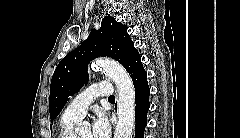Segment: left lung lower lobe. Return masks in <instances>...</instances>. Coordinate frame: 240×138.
<instances>
[{"label": "left lung lower lobe", "instance_id": "obj_1", "mask_svg": "<svg viewBox=\"0 0 240 138\" xmlns=\"http://www.w3.org/2000/svg\"><path fill=\"white\" fill-rule=\"evenodd\" d=\"M127 71L133 80L136 95L135 138H144V130L147 125V112L150 107V89L147 82V74L143 68L139 54L133 58Z\"/></svg>", "mask_w": 240, "mask_h": 138}]
</instances>
